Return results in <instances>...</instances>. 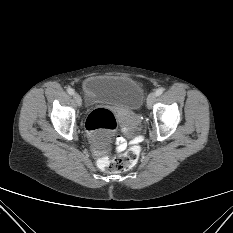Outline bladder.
<instances>
[{"label":"bladder","instance_id":"obj_1","mask_svg":"<svg viewBox=\"0 0 233 233\" xmlns=\"http://www.w3.org/2000/svg\"><path fill=\"white\" fill-rule=\"evenodd\" d=\"M83 91L89 105H109L121 109L135 110L143 102L140 85L130 77L119 75H94L84 79ZM109 141L94 136L93 147L102 151Z\"/></svg>","mask_w":233,"mask_h":233}]
</instances>
